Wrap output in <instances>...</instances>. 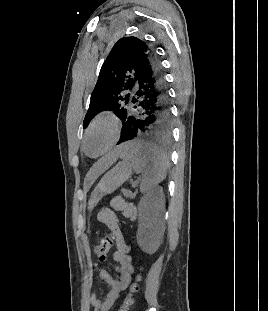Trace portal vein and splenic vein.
<instances>
[{"instance_id":"portal-vein-and-splenic-vein-1","label":"portal vein and splenic vein","mask_w":268,"mask_h":311,"mask_svg":"<svg viewBox=\"0 0 268 311\" xmlns=\"http://www.w3.org/2000/svg\"><path fill=\"white\" fill-rule=\"evenodd\" d=\"M124 195H126V196H128V195H130V192H124Z\"/></svg>"}]
</instances>
